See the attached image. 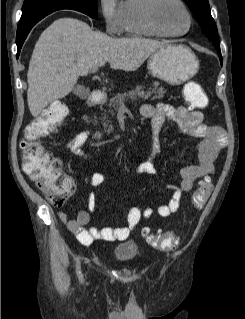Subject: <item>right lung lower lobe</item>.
Wrapping results in <instances>:
<instances>
[{"label": "right lung lower lobe", "instance_id": "obj_1", "mask_svg": "<svg viewBox=\"0 0 245 319\" xmlns=\"http://www.w3.org/2000/svg\"><path fill=\"white\" fill-rule=\"evenodd\" d=\"M42 18L37 19L25 26L22 27H18L17 29V36H16V44H17V56H19L20 53V49L28 35V33L30 32V30L32 29V27L38 22L40 21Z\"/></svg>", "mask_w": 245, "mask_h": 319}]
</instances>
